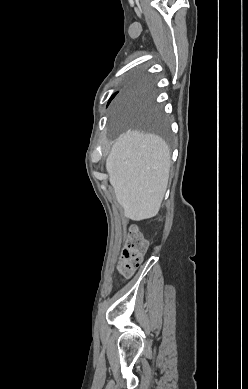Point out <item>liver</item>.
Listing matches in <instances>:
<instances>
[{
	"instance_id": "obj_1",
	"label": "liver",
	"mask_w": 248,
	"mask_h": 389,
	"mask_svg": "<svg viewBox=\"0 0 248 389\" xmlns=\"http://www.w3.org/2000/svg\"><path fill=\"white\" fill-rule=\"evenodd\" d=\"M170 166L169 147L157 135L129 130L114 143L106 170L125 216L139 221L158 213Z\"/></svg>"
}]
</instances>
